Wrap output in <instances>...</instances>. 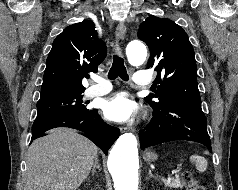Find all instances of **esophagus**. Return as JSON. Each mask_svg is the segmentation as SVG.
Returning <instances> with one entry per match:
<instances>
[{"label": "esophagus", "mask_w": 238, "mask_h": 190, "mask_svg": "<svg viewBox=\"0 0 238 190\" xmlns=\"http://www.w3.org/2000/svg\"><path fill=\"white\" fill-rule=\"evenodd\" d=\"M125 34H126V27L124 24L120 23L117 28H116V31H115V37H116V44H115V52L118 54V55H122V49H121V46H120V43L121 41L124 39L125 37ZM128 129L126 127H121L120 128V131L123 133V132H126Z\"/></svg>", "instance_id": "obj_1"}]
</instances>
